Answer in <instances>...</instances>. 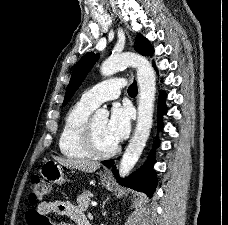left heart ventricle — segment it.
I'll return each instance as SVG.
<instances>
[{
  "label": "left heart ventricle",
  "mask_w": 228,
  "mask_h": 225,
  "mask_svg": "<svg viewBox=\"0 0 228 225\" xmlns=\"http://www.w3.org/2000/svg\"><path fill=\"white\" fill-rule=\"evenodd\" d=\"M93 128L97 142L102 148H110L115 142L108 138L106 134L107 120L104 118L92 119Z\"/></svg>",
  "instance_id": "obj_1"
}]
</instances>
